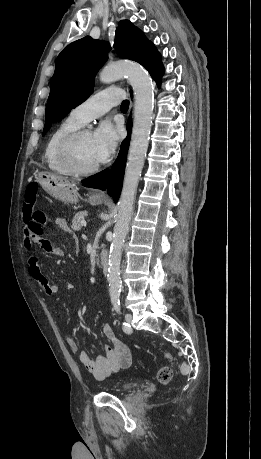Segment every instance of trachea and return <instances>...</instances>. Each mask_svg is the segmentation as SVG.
<instances>
[{
  "label": "trachea",
  "mask_w": 261,
  "mask_h": 459,
  "mask_svg": "<svg viewBox=\"0 0 261 459\" xmlns=\"http://www.w3.org/2000/svg\"><path fill=\"white\" fill-rule=\"evenodd\" d=\"M128 107H129V101L125 100L122 102L121 104V110H128Z\"/></svg>",
  "instance_id": "obj_1"
}]
</instances>
